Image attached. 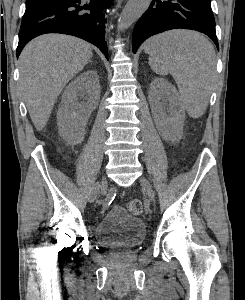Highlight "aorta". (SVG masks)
Instances as JSON below:
<instances>
[{"mask_svg":"<svg viewBox=\"0 0 245 300\" xmlns=\"http://www.w3.org/2000/svg\"><path fill=\"white\" fill-rule=\"evenodd\" d=\"M151 1L152 0H128L118 20L119 30L127 29L136 22L149 8Z\"/></svg>","mask_w":245,"mask_h":300,"instance_id":"obj_1","label":"aorta"}]
</instances>
